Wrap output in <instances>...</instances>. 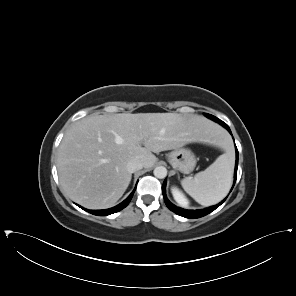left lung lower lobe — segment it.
Returning a JSON list of instances; mask_svg holds the SVG:
<instances>
[{"instance_id": "obj_1", "label": "left lung lower lobe", "mask_w": 296, "mask_h": 296, "mask_svg": "<svg viewBox=\"0 0 296 296\" xmlns=\"http://www.w3.org/2000/svg\"><path fill=\"white\" fill-rule=\"evenodd\" d=\"M222 126H224L230 133V129L228 127L227 124L225 123H220ZM237 168H238V150L236 148V164H235V173H234V184H235V181H236V178H237ZM165 187H166V180L164 181L163 185H162V193H163V197H164V201L167 205V207L172 210L173 212H175L176 214L180 215V216H183V217H186V218H200L202 216H205L207 214H209L210 212H212L213 210H215L216 208H218L224 201H221L219 204L215 205V206H211L209 208H205L203 210H185V209H182L180 207H177L175 205H173L166 197V194H165Z\"/></svg>"}]
</instances>
